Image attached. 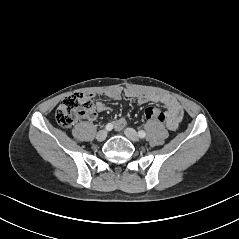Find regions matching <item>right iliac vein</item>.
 <instances>
[{
	"mask_svg": "<svg viewBox=\"0 0 239 239\" xmlns=\"http://www.w3.org/2000/svg\"><path fill=\"white\" fill-rule=\"evenodd\" d=\"M107 137V131L106 130H101L97 133L96 135V139L99 141V142H102L106 139Z\"/></svg>",
	"mask_w": 239,
	"mask_h": 239,
	"instance_id": "right-iliac-vein-1",
	"label": "right iliac vein"
}]
</instances>
